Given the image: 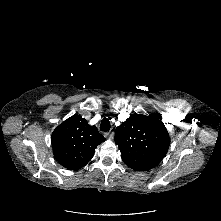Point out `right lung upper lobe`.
Listing matches in <instances>:
<instances>
[{"label":"right lung upper lobe","mask_w":221,"mask_h":221,"mask_svg":"<svg viewBox=\"0 0 221 221\" xmlns=\"http://www.w3.org/2000/svg\"><path fill=\"white\" fill-rule=\"evenodd\" d=\"M105 138L95 126L81 116H72L52 133L51 143L56 160L69 170L85 166L94 156L95 148Z\"/></svg>","instance_id":"right-lung-upper-lobe-1"}]
</instances>
